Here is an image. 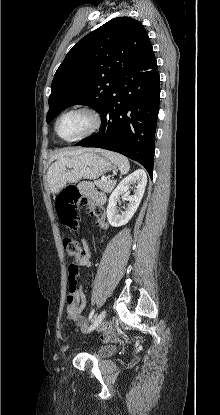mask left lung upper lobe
<instances>
[{
	"mask_svg": "<svg viewBox=\"0 0 220 415\" xmlns=\"http://www.w3.org/2000/svg\"><path fill=\"white\" fill-rule=\"evenodd\" d=\"M154 55L141 22L114 18L83 37L66 55L52 81L47 122L75 104L100 112L127 71Z\"/></svg>",
	"mask_w": 220,
	"mask_h": 415,
	"instance_id": "1",
	"label": "left lung upper lobe"
}]
</instances>
